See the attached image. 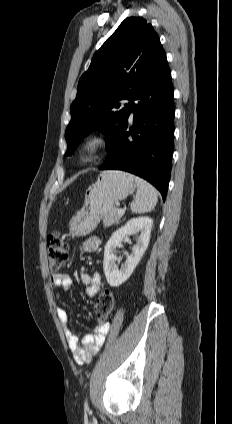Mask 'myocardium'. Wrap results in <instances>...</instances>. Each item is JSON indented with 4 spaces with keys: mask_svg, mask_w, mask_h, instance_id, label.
Listing matches in <instances>:
<instances>
[{
    "mask_svg": "<svg viewBox=\"0 0 232 424\" xmlns=\"http://www.w3.org/2000/svg\"><path fill=\"white\" fill-rule=\"evenodd\" d=\"M107 148V138L102 133H92L86 136L80 143L78 153L83 163H91L97 160Z\"/></svg>",
    "mask_w": 232,
    "mask_h": 424,
    "instance_id": "myocardium-1",
    "label": "myocardium"
}]
</instances>
